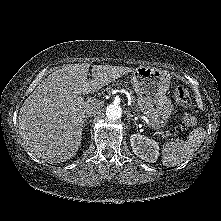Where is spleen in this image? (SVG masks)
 I'll use <instances>...</instances> for the list:
<instances>
[{"instance_id": "obj_1", "label": "spleen", "mask_w": 221, "mask_h": 221, "mask_svg": "<svg viewBox=\"0 0 221 221\" xmlns=\"http://www.w3.org/2000/svg\"><path fill=\"white\" fill-rule=\"evenodd\" d=\"M204 138V129L196 128L186 140L167 142L162 148V163L166 166H174L190 159L201 146Z\"/></svg>"}]
</instances>
